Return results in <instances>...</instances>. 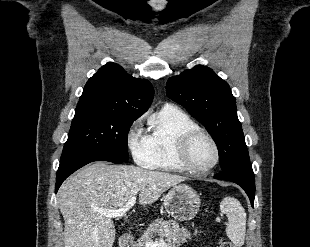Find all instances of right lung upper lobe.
<instances>
[{
  "mask_svg": "<svg viewBox=\"0 0 310 247\" xmlns=\"http://www.w3.org/2000/svg\"><path fill=\"white\" fill-rule=\"evenodd\" d=\"M154 95L151 83L127 74L109 62L86 83L75 112H111L141 116Z\"/></svg>",
  "mask_w": 310,
  "mask_h": 247,
  "instance_id": "obj_1",
  "label": "right lung upper lobe"
}]
</instances>
